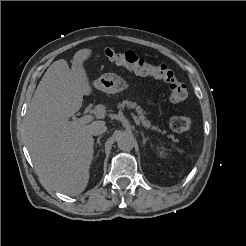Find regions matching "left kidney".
<instances>
[{
    "label": "left kidney",
    "mask_w": 246,
    "mask_h": 246,
    "mask_svg": "<svg viewBox=\"0 0 246 246\" xmlns=\"http://www.w3.org/2000/svg\"><path fill=\"white\" fill-rule=\"evenodd\" d=\"M158 155L162 158H165L167 156V153L164 150L158 151Z\"/></svg>",
    "instance_id": "left-kidney-1"
}]
</instances>
